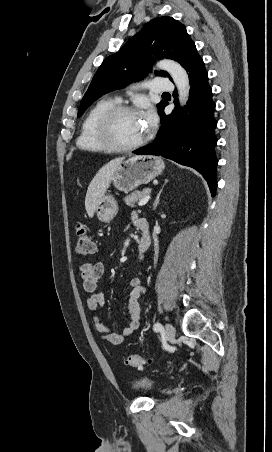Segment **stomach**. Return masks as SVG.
Here are the masks:
<instances>
[{
    "mask_svg": "<svg viewBox=\"0 0 272 452\" xmlns=\"http://www.w3.org/2000/svg\"><path fill=\"white\" fill-rule=\"evenodd\" d=\"M164 167L159 157L131 155L116 167L111 182L117 190L128 193L152 181L162 173ZM117 212L118 204L111 195H104L95 209L98 220L104 223L110 222Z\"/></svg>",
    "mask_w": 272,
    "mask_h": 452,
    "instance_id": "obj_1",
    "label": "stomach"
}]
</instances>
